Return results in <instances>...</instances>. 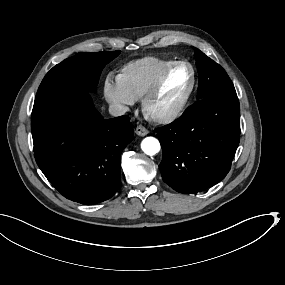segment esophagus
Returning a JSON list of instances; mask_svg holds the SVG:
<instances>
[{
	"label": "esophagus",
	"mask_w": 285,
	"mask_h": 285,
	"mask_svg": "<svg viewBox=\"0 0 285 285\" xmlns=\"http://www.w3.org/2000/svg\"><path fill=\"white\" fill-rule=\"evenodd\" d=\"M135 133L138 136H145L149 133V131L145 127H143L142 125H138L135 129Z\"/></svg>",
	"instance_id": "1"
}]
</instances>
